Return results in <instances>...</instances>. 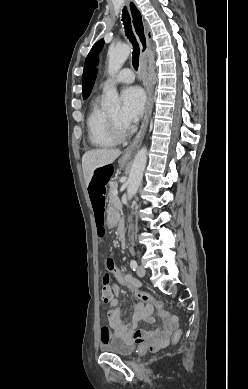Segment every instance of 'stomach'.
<instances>
[{
    "mask_svg": "<svg viewBox=\"0 0 248 389\" xmlns=\"http://www.w3.org/2000/svg\"><path fill=\"white\" fill-rule=\"evenodd\" d=\"M122 165L124 162L121 163ZM118 206L116 204H110L109 208L107 209V220L109 226H119L120 225V215L118 214Z\"/></svg>",
    "mask_w": 248,
    "mask_h": 389,
    "instance_id": "stomach-1",
    "label": "stomach"
}]
</instances>
